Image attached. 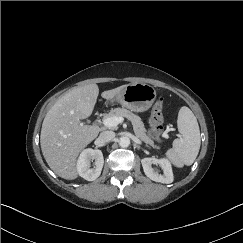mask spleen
Masks as SVG:
<instances>
[{
	"mask_svg": "<svg viewBox=\"0 0 243 243\" xmlns=\"http://www.w3.org/2000/svg\"><path fill=\"white\" fill-rule=\"evenodd\" d=\"M177 126L180 137L173 141V147L166 152L167 158L176 166L192 165L201 144L200 130L193 112L186 106L178 113Z\"/></svg>",
	"mask_w": 243,
	"mask_h": 243,
	"instance_id": "spleen-1",
	"label": "spleen"
}]
</instances>
